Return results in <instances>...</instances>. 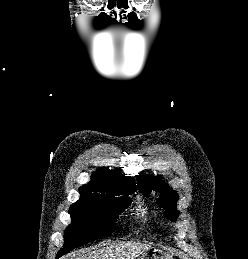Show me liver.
I'll return each instance as SVG.
<instances>
[{
    "instance_id": "liver-1",
    "label": "liver",
    "mask_w": 248,
    "mask_h": 259,
    "mask_svg": "<svg viewBox=\"0 0 248 259\" xmlns=\"http://www.w3.org/2000/svg\"><path fill=\"white\" fill-rule=\"evenodd\" d=\"M150 248V246L140 242H119L82 254H71L68 259H135L139 254Z\"/></svg>"
}]
</instances>
